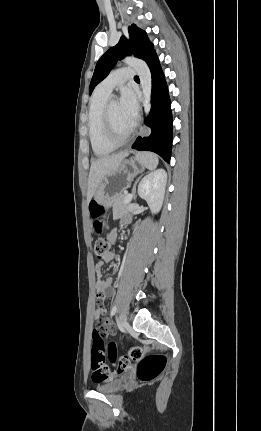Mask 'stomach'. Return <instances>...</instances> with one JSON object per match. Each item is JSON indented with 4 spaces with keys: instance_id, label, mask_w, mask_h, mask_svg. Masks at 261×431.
Here are the masks:
<instances>
[{
    "instance_id": "stomach-1",
    "label": "stomach",
    "mask_w": 261,
    "mask_h": 431,
    "mask_svg": "<svg viewBox=\"0 0 261 431\" xmlns=\"http://www.w3.org/2000/svg\"><path fill=\"white\" fill-rule=\"evenodd\" d=\"M144 167L138 154L124 159L113 174L104 178L95 192V201L104 209L109 208L114 199L130 186L132 180L144 170Z\"/></svg>"
}]
</instances>
